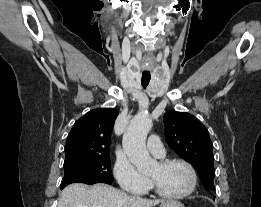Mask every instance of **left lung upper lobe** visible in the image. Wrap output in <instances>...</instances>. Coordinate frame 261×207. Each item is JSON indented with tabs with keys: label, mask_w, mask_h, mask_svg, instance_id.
<instances>
[{
	"label": "left lung upper lobe",
	"mask_w": 261,
	"mask_h": 207,
	"mask_svg": "<svg viewBox=\"0 0 261 207\" xmlns=\"http://www.w3.org/2000/svg\"><path fill=\"white\" fill-rule=\"evenodd\" d=\"M164 124L169 146L193 165L206 190H214L213 146L206 127L193 115L176 111L164 115Z\"/></svg>",
	"instance_id": "1"
}]
</instances>
